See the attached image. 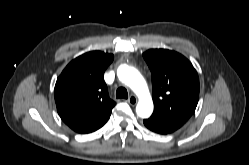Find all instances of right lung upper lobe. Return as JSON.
<instances>
[{
	"label": "right lung upper lobe",
	"mask_w": 249,
	"mask_h": 165,
	"mask_svg": "<svg viewBox=\"0 0 249 165\" xmlns=\"http://www.w3.org/2000/svg\"><path fill=\"white\" fill-rule=\"evenodd\" d=\"M113 59L112 54L91 51L72 60L58 77L57 111L75 132L96 131L109 119L115 102L109 98L103 74Z\"/></svg>",
	"instance_id": "right-lung-upper-lobe-1"
}]
</instances>
